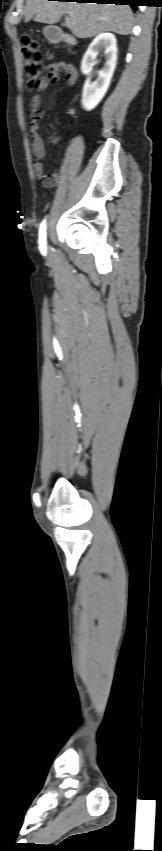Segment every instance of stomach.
Listing matches in <instances>:
<instances>
[{"instance_id":"stomach-1","label":"stomach","mask_w":162,"mask_h":851,"mask_svg":"<svg viewBox=\"0 0 162 851\" xmlns=\"http://www.w3.org/2000/svg\"><path fill=\"white\" fill-rule=\"evenodd\" d=\"M55 32H56V29H55V28H53V27H51V26H48V27H45V28H44V34H45V36H46L48 39H53V38H54V33H55Z\"/></svg>"}]
</instances>
